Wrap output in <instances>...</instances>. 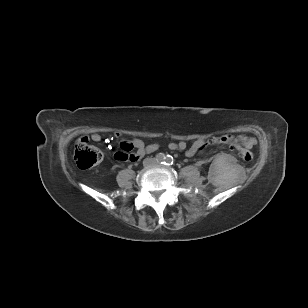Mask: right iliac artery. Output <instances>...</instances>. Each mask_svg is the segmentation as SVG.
I'll return each instance as SVG.
<instances>
[{
    "instance_id": "right-iliac-artery-1",
    "label": "right iliac artery",
    "mask_w": 308,
    "mask_h": 308,
    "mask_svg": "<svg viewBox=\"0 0 308 308\" xmlns=\"http://www.w3.org/2000/svg\"><path fill=\"white\" fill-rule=\"evenodd\" d=\"M165 159H166V157H165V155L162 154V153H159V154L156 155V160H157L158 162L163 163V162L165 161Z\"/></svg>"
}]
</instances>
